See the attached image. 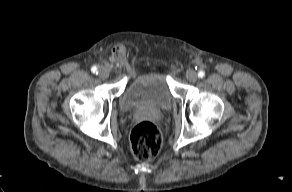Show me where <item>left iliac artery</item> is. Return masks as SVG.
Returning a JSON list of instances; mask_svg holds the SVG:
<instances>
[{
  "label": "left iliac artery",
  "instance_id": "44dca946",
  "mask_svg": "<svg viewBox=\"0 0 292 192\" xmlns=\"http://www.w3.org/2000/svg\"><path fill=\"white\" fill-rule=\"evenodd\" d=\"M205 76V72L204 71H200L199 73H198V77L199 78H203Z\"/></svg>",
  "mask_w": 292,
  "mask_h": 192
}]
</instances>
